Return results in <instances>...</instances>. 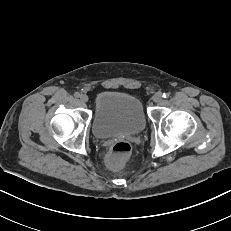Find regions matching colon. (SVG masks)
Instances as JSON below:
<instances>
[{
	"label": "colon",
	"instance_id": "1",
	"mask_svg": "<svg viewBox=\"0 0 231 231\" xmlns=\"http://www.w3.org/2000/svg\"><path fill=\"white\" fill-rule=\"evenodd\" d=\"M132 151V145L130 142L121 140L114 143L107 155V163L114 169L121 168Z\"/></svg>",
	"mask_w": 231,
	"mask_h": 231
}]
</instances>
